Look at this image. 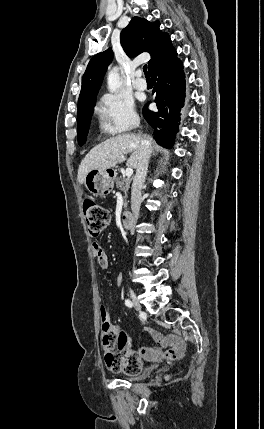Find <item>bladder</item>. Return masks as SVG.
<instances>
[{
	"mask_svg": "<svg viewBox=\"0 0 264 429\" xmlns=\"http://www.w3.org/2000/svg\"><path fill=\"white\" fill-rule=\"evenodd\" d=\"M153 371H154V367H147L137 374L126 376V379L131 380V381L142 380V379L149 377Z\"/></svg>",
	"mask_w": 264,
	"mask_h": 429,
	"instance_id": "31cf9c89",
	"label": "bladder"
}]
</instances>
